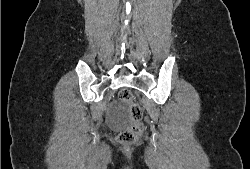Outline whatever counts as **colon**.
<instances>
[{
    "mask_svg": "<svg viewBox=\"0 0 250 169\" xmlns=\"http://www.w3.org/2000/svg\"><path fill=\"white\" fill-rule=\"evenodd\" d=\"M117 97H120L122 104H129L131 118V126H126V130H121L115 138L116 146H122L123 150H130L131 143H139V139H144L146 135V122L144 120V110H141V102H137L132 96V88H120Z\"/></svg>",
    "mask_w": 250,
    "mask_h": 169,
    "instance_id": "colon-1",
    "label": "colon"
}]
</instances>
